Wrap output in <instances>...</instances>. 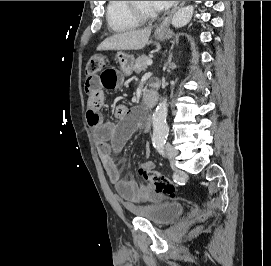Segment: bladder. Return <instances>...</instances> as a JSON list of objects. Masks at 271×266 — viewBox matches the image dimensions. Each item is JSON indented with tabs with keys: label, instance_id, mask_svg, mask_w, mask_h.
<instances>
[{
	"label": "bladder",
	"instance_id": "1",
	"mask_svg": "<svg viewBox=\"0 0 271 266\" xmlns=\"http://www.w3.org/2000/svg\"><path fill=\"white\" fill-rule=\"evenodd\" d=\"M185 206L181 202H170L146 209H137L134 215L138 218L148 220L155 225H166L184 212Z\"/></svg>",
	"mask_w": 271,
	"mask_h": 266
}]
</instances>
